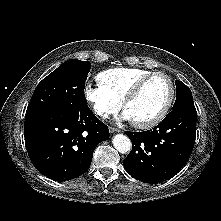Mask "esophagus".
<instances>
[{
    "instance_id": "obj_1",
    "label": "esophagus",
    "mask_w": 221,
    "mask_h": 221,
    "mask_svg": "<svg viewBox=\"0 0 221 221\" xmlns=\"http://www.w3.org/2000/svg\"><path fill=\"white\" fill-rule=\"evenodd\" d=\"M109 131L111 133H115V132H119L120 130L118 128H115V127H109Z\"/></svg>"
}]
</instances>
